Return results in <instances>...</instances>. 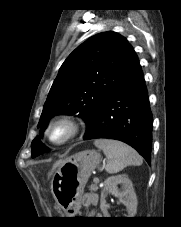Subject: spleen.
<instances>
[{
	"label": "spleen",
	"instance_id": "3e777b00",
	"mask_svg": "<svg viewBox=\"0 0 181 227\" xmlns=\"http://www.w3.org/2000/svg\"><path fill=\"white\" fill-rule=\"evenodd\" d=\"M94 145L101 149L110 160L105 168L109 174L118 173L130 165L139 166L143 162L142 157L123 142L111 139H98L94 141Z\"/></svg>",
	"mask_w": 181,
	"mask_h": 227
}]
</instances>
